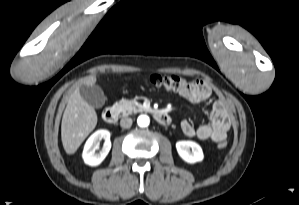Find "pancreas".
I'll return each mask as SVG.
<instances>
[{"label":"pancreas","mask_w":299,"mask_h":205,"mask_svg":"<svg viewBox=\"0 0 299 205\" xmlns=\"http://www.w3.org/2000/svg\"><path fill=\"white\" fill-rule=\"evenodd\" d=\"M114 108L122 112L123 116L144 111V107L140 103L127 99H121L119 102H116Z\"/></svg>","instance_id":"pancreas-1"}]
</instances>
